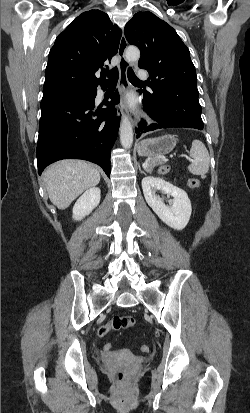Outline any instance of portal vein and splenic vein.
Instances as JSON below:
<instances>
[{"mask_svg": "<svg viewBox=\"0 0 250 413\" xmlns=\"http://www.w3.org/2000/svg\"><path fill=\"white\" fill-rule=\"evenodd\" d=\"M181 157H186L188 160H191L190 157H188L186 155H181Z\"/></svg>", "mask_w": 250, "mask_h": 413, "instance_id": "obj_1", "label": "portal vein and splenic vein"}]
</instances>
